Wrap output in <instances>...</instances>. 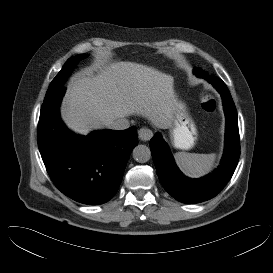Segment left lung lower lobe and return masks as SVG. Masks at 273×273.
Instances as JSON below:
<instances>
[{
	"label": "left lung lower lobe",
	"instance_id": "obj_1",
	"mask_svg": "<svg viewBox=\"0 0 273 273\" xmlns=\"http://www.w3.org/2000/svg\"><path fill=\"white\" fill-rule=\"evenodd\" d=\"M194 73L211 83L222 96L226 134L220 166L203 178L190 179L180 172L168 145L159 133H156L149 143L162 186L172 197L186 204L207 201L219 194L231 179L240 156L237 111L227 86L221 79L209 75L200 68L195 67Z\"/></svg>",
	"mask_w": 273,
	"mask_h": 273
}]
</instances>
